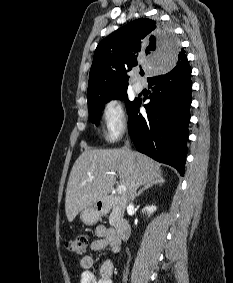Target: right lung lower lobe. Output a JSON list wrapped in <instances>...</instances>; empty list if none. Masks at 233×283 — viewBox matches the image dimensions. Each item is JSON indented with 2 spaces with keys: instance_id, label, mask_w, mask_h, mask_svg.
<instances>
[{
  "instance_id": "obj_1",
  "label": "right lung lower lobe",
  "mask_w": 233,
  "mask_h": 283,
  "mask_svg": "<svg viewBox=\"0 0 233 283\" xmlns=\"http://www.w3.org/2000/svg\"><path fill=\"white\" fill-rule=\"evenodd\" d=\"M161 72L148 81L152 94L144 105L147 115L138 114L141 100L128 113L129 134L138 151L184 175L192 90L187 56Z\"/></svg>"
}]
</instances>
